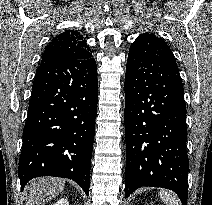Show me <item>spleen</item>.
Segmentation results:
<instances>
[{
  "instance_id": "spleen-1",
  "label": "spleen",
  "mask_w": 212,
  "mask_h": 205,
  "mask_svg": "<svg viewBox=\"0 0 212 205\" xmlns=\"http://www.w3.org/2000/svg\"><path fill=\"white\" fill-rule=\"evenodd\" d=\"M160 197L166 205H180L179 199L172 192L161 190Z\"/></svg>"
}]
</instances>
